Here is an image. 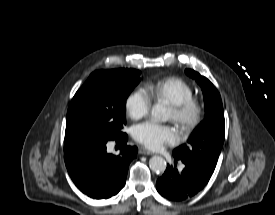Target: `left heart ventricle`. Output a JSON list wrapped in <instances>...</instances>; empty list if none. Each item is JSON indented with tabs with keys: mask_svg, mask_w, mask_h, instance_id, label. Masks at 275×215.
<instances>
[{
	"mask_svg": "<svg viewBox=\"0 0 275 215\" xmlns=\"http://www.w3.org/2000/svg\"><path fill=\"white\" fill-rule=\"evenodd\" d=\"M169 118L173 120L174 118V114H173V111L170 109V112H169Z\"/></svg>",
	"mask_w": 275,
	"mask_h": 215,
	"instance_id": "obj_1",
	"label": "left heart ventricle"
}]
</instances>
